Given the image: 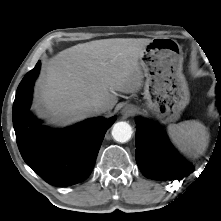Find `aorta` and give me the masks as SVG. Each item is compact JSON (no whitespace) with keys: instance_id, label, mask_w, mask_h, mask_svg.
Wrapping results in <instances>:
<instances>
[{"instance_id":"1","label":"aorta","mask_w":221,"mask_h":221,"mask_svg":"<svg viewBox=\"0 0 221 221\" xmlns=\"http://www.w3.org/2000/svg\"><path fill=\"white\" fill-rule=\"evenodd\" d=\"M111 133L115 141L125 143L131 138L132 127L127 122H117L114 124Z\"/></svg>"}]
</instances>
